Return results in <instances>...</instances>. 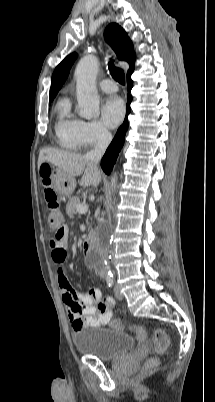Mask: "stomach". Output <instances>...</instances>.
<instances>
[{
    "mask_svg": "<svg viewBox=\"0 0 215 402\" xmlns=\"http://www.w3.org/2000/svg\"><path fill=\"white\" fill-rule=\"evenodd\" d=\"M50 181L54 190L58 194L66 197L71 196L76 187L75 178L59 168L51 171Z\"/></svg>",
    "mask_w": 215,
    "mask_h": 402,
    "instance_id": "obj_1",
    "label": "stomach"
}]
</instances>
